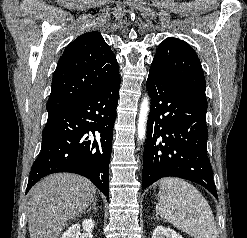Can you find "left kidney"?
<instances>
[{"mask_svg": "<svg viewBox=\"0 0 247 238\" xmlns=\"http://www.w3.org/2000/svg\"><path fill=\"white\" fill-rule=\"evenodd\" d=\"M152 238H183V237L177 234L174 230L159 225L154 229Z\"/></svg>", "mask_w": 247, "mask_h": 238, "instance_id": "left-kidney-1", "label": "left kidney"}]
</instances>
